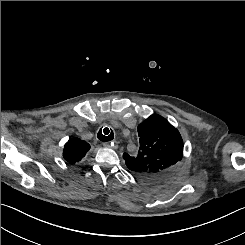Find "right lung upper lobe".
Listing matches in <instances>:
<instances>
[{
    "mask_svg": "<svg viewBox=\"0 0 245 245\" xmlns=\"http://www.w3.org/2000/svg\"><path fill=\"white\" fill-rule=\"evenodd\" d=\"M90 145L77 137L69 139L63 150V157L69 163H78L89 151Z\"/></svg>",
    "mask_w": 245,
    "mask_h": 245,
    "instance_id": "right-lung-upper-lobe-1",
    "label": "right lung upper lobe"
}]
</instances>
